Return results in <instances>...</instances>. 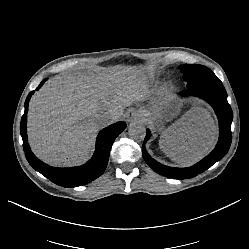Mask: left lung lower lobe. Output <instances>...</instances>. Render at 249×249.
Segmentation results:
<instances>
[{"label":"left lung lower lobe","mask_w":249,"mask_h":249,"mask_svg":"<svg viewBox=\"0 0 249 249\" xmlns=\"http://www.w3.org/2000/svg\"><path fill=\"white\" fill-rule=\"evenodd\" d=\"M183 97L195 96L209 103L219 120V140L215 149L204 159L188 168H173L154 160L146 151L145 143L150 138V131L146 130V137L142 147V155L146 163L157 173L168 178L187 179L197 176L221 160L231 145L232 109L227 101V93L221 82H211L198 85L180 92Z\"/></svg>","instance_id":"0a47b994"}]
</instances>
